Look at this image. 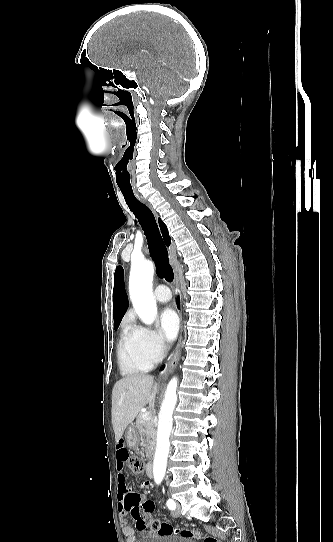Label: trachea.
I'll return each mask as SVG.
<instances>
[{"label":"trachea","instance_id":"3493384b","mask_svg":"<svg viewBox=\"0 0 333 542\" xmlns=\"http://www.w3.org/2000/svg\"><path fill=\"white\" fill-rule=\"evenodd\" d=\"M124 199L135 217L138 219L146 235L151 256L156 264L159 277L168 282L173 280V269L169 264L168 252L159 232L158 225L150 208L140 202L132 189H120Z\"/></svg>","mask_w":333,"mask_h":542}]
</instances>
